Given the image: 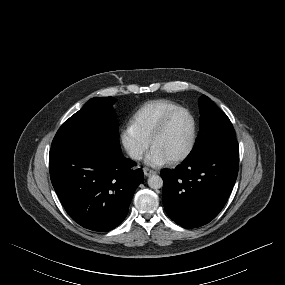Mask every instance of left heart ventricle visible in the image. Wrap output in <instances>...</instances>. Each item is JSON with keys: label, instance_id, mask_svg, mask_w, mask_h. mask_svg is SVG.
<instances>
[{"label": "left heart ventricle", "instance_id": "left-heart-ventricle-1", "mask_svg": "<svg viewBox=\"0 0 285 285\" xmlns=\"http://www.w3.org/2000/svg\"><path fill=\"white\" fill-rule=\"evenodd\" d=\"M191 136V120L185 112L175 113L164 132L155 140L153 148L168 160L180 156L188 147Z\"/></svg>", "mask_w": 285, "mask_h": 285}]
</instances>
